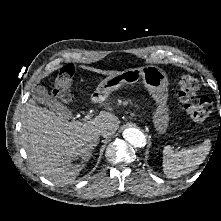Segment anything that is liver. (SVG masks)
I'll use <instances>...</instances> for the list:
<instances>
[{"instance_id":"6515ba94","label":"liver","mask_w":221,"mask_h":221,"mask_svg":"<svg viewBox=\"0 0 221 221\" xmlns=\"http://www.w3.org/2000/svg\"><path fill=\"white\" fill-rule=\"evenodd\" d=\"M96 73L114 75L117 71H102L87 68ZM103 105L106 98H93ZM120 121L114 114L101 111L88 121L68 122L67 118L36 105L30 99L21 118V140L28 159L34 169L42 176L61 184L72 182L84 164L73 165L72 160L82 157L88 161L90 152L98 144L99 130L106 136L113 135Z\"/></svg>"}]
</instances>
